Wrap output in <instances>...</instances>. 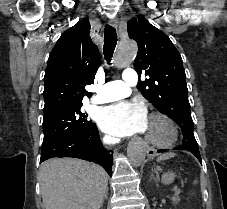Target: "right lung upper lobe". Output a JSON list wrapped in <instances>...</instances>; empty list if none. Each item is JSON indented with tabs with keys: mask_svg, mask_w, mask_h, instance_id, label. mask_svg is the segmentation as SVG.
Instances as JSON below:
<instances>
[{
	"mask_svg": "<svg viewBox=\"0 0 227 209\" xmlns=\"http://www.w3.org/2000/svg\"><path fill=\"white\" fill-rule=\"evenodd\" d=\"M89 31L90 23L83 19L58 39L45 71V102L53 98L82 100L91 96L84 86L93 83L100 55Z\"/></svg>",
	"mask_w": 227,
	"mask_h": 209,
	"instance_id": "obj_1",
	"label": "right lung upper lobe"
}]
</instances>
